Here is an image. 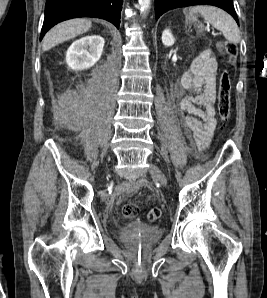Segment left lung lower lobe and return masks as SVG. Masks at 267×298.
Masks as SVG:
<instances>
[{
    "instance_id": "left-lung-lower-lobe-1",
    "label": "left lung lower lobe",
    "mask_w": 267,
    "mask_h": 298,
    "mask_svg": "<svg viewBox=\"0 0 267 298\" xmlns=\"http://www.w3.org/2000/svg\"><path fill=\"white\" fill-rule=\"evenodd\" d=\"M208 4L217 6L227 11L238 22L237 15L233 7V0H155L156 20L165 12L186 6Z\"/></svg>"
}]
</instances>
